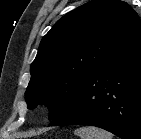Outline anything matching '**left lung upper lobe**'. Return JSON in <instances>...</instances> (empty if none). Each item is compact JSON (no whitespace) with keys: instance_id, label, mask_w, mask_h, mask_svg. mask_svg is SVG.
I'll return each instance as SVG.
<instances>
[{"instance_id":"1","label":"left lung upper lobe","mask_w":141,"mask_h":139,"mask_svg":"<svg viewBox=\"0 0 141 139\" xmlns=\"http://www.w3.org/2000/svg\"><path fill=\"white\" fill-rule=\"evenodd\" d=\"M141 31L125 2L92 0L59 19L43 37L25 92L28 108L46 103L50 120L70 104L85 79Z\"/></svg>"}]
</instances>
